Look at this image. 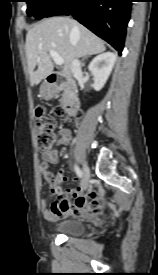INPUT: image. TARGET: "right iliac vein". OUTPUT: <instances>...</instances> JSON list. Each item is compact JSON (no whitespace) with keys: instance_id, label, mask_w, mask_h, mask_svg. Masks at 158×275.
<instances>
[{"instance_id":"obj_1","label":"right iliac vein","mask_w":158,"mask_h":275,"mask_svg":"<svg viewBox=\"0 0 158 275\" xmlns=\"http://www.w3.org/2000/svg\"><path fill=\"white\" fill-rule=\"evenodd\" d=\"M90 179V169L86 163L83 164V180H82V185L84 187L88 186Z\"/></svg>"}]
</instances>
